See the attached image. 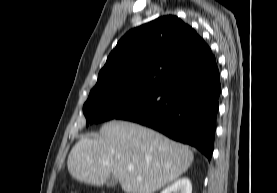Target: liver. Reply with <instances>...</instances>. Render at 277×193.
Masks as SVG:
<instances>
[{"label": "liver", "mask_w": 277, "mask_h": 193, "mask_svg": "<svg viewBox=\"0 0 277 193\" xmlns=\"http://www.w3.org/2000/svg\"><path fill=\"white\" fill-rule=\"evenodd\" d=\"M193 159L188 146L139 124L112 120L96 138L84 137L74 145L67 167L87 184L101 186L113 176L126 193H154L178 179Z\"/></svg>", "instance_id": "liver-1"}]
</instances>
